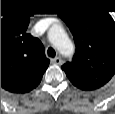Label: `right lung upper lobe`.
I'll return each instance as SVG.
<instances>
[{
    "label": "right lung upper lobe",
    "instance_id": "1",
    "mask_svg": "<svg viewBox=\"0 0 115 114\" xmlns=\"http://www.w3.org/2000/svg\"><path fill=\"white\" fill-rule=\"evenodd\" d=\"M29 18L1 19V87L13 93H26L40 83L49 66L38 38L26 32Z\"/></svg>",
    "mask_w": 115,
    "mask_h": 114
}]
</instances>
